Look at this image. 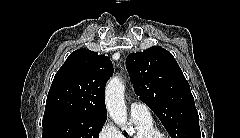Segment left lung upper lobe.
I'll list each match as a JSON object with an SVG mask.
<instances>
[{"instance_id":"obj_1","label":"left lung upper lobe","mask_w":240,"mask_h":138,"mask_svg":"<svg viewBox=\"0 0 240 138\" xmlns=\"http://www.w3.org/2000/svg\"><path fill=\"white\" fill-rule=\"evenodd\" d=\"M139 99L158 116L172 138H201L190 86L173 55L160 46L127 57Z\"/></svg>"}]
</instances>
